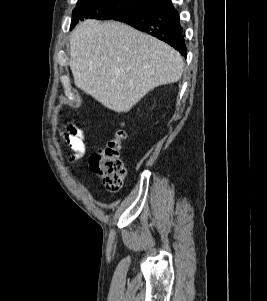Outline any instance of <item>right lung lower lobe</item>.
<instances>
[{"label": "right lung lower lobe", "instance_id": "obj_1", "mask_svg": "<svg viewBox=\"0 0 267 301\" xmlns=\"http://www.w3.org/2000/svg\"><path fill=\"white\" fill-rule=\"evenodd\" d=\"M114 20L127 23L168 43L186 57L185 35L178 11L171 0H161L134 12L118 15Z\"/></svg>", "mask_w": 267, "mask_h": 301}]
</instances>
